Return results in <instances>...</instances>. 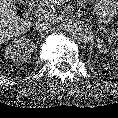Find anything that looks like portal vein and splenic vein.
<instances>
[{"label":"portal vein and splenic vein","instance_id":"obj_1","mask_svg":"<svg viewBox=\"0 0 118 118\" xmlns=\"http://www.w3.org/2000/svg\"><path fill=\"white\" fill-rule=\"evenodd\" d=\"M113 36H118V33H115V34L113 33Z\"/></svg>","mask_w":118,"mask_h":118}]
</instances>
